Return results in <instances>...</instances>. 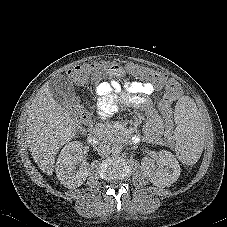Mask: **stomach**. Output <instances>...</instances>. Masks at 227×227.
<instances>
[{
  "label": "stomach",
  "mask_w": 227,
  "mask_h": 227,
  "mask_svg": "<svg viewBox=\"0 0 227 227\" xmlns=\"http://www.w3.org/2000/svg\"><path fill=\"white\" fill-rule=\"evenodd\" d=\"M102 73L107 78H122L127 73V65L122 60L107 61L102 66Z\"/></svg>",
  "instance_id": "stomach-1"
}]
</instances>
